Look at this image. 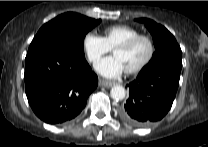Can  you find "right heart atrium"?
Returning a JSON list of instances; mask_svg holds the SVG:
<instances>
[{
	"label": "right heart atrium",
	"instance_id": "obj_1",
	"mask_svg": "<svg viewBox=\"0 0 208 147\" xmlns=\"http://www.w3.org/2000/svg\"><path fill=\"white\" fill-rule=\"evenodd\" d=\"M83 48L91 63H96L102 56L110 51L105 39L93 32H89L84 36Z\"/></svg>",
	"mask_w": 208,
	"mask_h": 147
}]
</instances>
